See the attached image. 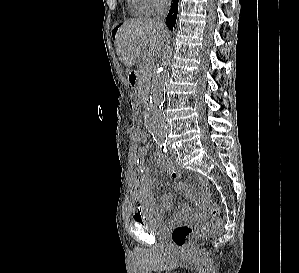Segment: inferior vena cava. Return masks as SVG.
Returning <instances> with one entry per match:
<instances>
[{
    "mask_svg": "<svg viewBox=\"0 0 299 273\" xmlns=\"http://www.w3.org/2000/svg\"><path fill=\"white\" fill-rule=\"evenodd\" d=\"M169 7H170V0H157V4H156L157 15L154 20L162 28H165V18L169 11Z\"/></svg>",
    "mask_w": 299,
    "mask_h": 273,
    "instance_id": "602c4592",
    "label": "inferior vena cava"
}]
</instances>
